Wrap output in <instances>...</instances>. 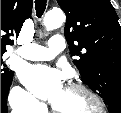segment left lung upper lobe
I'll return each instance as SVG.
<instances>
[{"label":"left lung upper lobe","instance_id":"5c2ea615","mask_svg":"<svg viewBox=\"0 0 121 113\" xmlns=\"http://www.w3.org/2000/svg\"><path fill=\"white\" fill-rule=\"evenodd\" d=\"M65 37L84 83L121 113V27L109 0H57Z\"/></svg>","mask_w":121,"mask_h":113}]
</instances>
